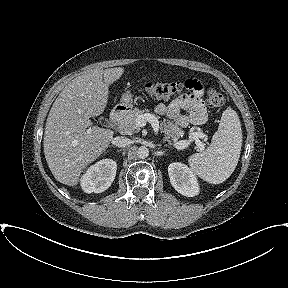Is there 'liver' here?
I'll list each match as a JSON object with an SVG mask.
<instances>
[{
    "mask_svg": "<svg viewBox=\"0 0 288 288\" xmlns=\"http://www.w3.org/2000/svg\"><path fill=\"white\" fill-rule=\"evenodd\" d=\"M123 73L122 67L90 70L69 82L53 103L43 145L48 167L60 183L77 185L83 170L108 148L114 132L92 126L90 118L103 113L109 85Z\"/></svg>",
    "mask_w": 288,
    "mask_h": 288,
    "instance_id": "liver-1",
    "label": "liver"
}]
</instances>
